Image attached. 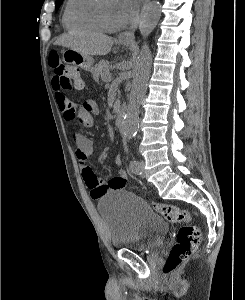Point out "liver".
<instances>
[{
	"label": "liver",
	"instance_id": "6515ba94",
	"mask_svg": "<svg viewBox=\"0 0 245 300\" xmlns=\"http://www.w3.org/2000/svg\"><path fill=\"white\" fill-rule=\"evenodd\" d=\"M55 44L74 49L84 55L103 56L111 51L113 40L98 33H69L62 35Z\"/></svg>",
	"mask_w": 245,
	"mask_h": 300
}]
</instances>
